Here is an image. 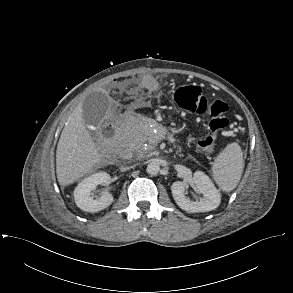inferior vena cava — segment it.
Instances as JSON below:
<instances>
[{"label":"inferior vena cava","mask_w":293,"mask_h":293,"mask_svg":"<svg viewBox=\"0 0 293 293\" xmlns=\"http://www.w3.org/2000/svg\"><path fill=\"white\" fill-rule=\"evenodd\" d=\"M128 169H130V167H121V171H126V170H128Z\"/></svg>","instance_id":"inferior-vena-cava-1"}]
</instances>
